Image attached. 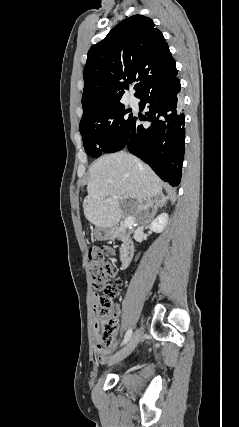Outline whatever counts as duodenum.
<instances>
[{
  "label": "duodenum",
  "mask_w": 239,
  "mask_h": 427,
  "mask_svg": "<svg viewBox=\"0 0 239 427\" xmlns=\"http://www.w3.org/2000/svg\"><path fill=\"white\" fill-rule=\"evenodd\" d=\"M111 233L114 236L120 237L121 241H122V245H121V249H120V262H121V267L124 269L126 268L135 253V243L132 239V237L130 236V234L123 228H114Z\"/></svg>",
  "instance_id": "1"
}]
</instances>
